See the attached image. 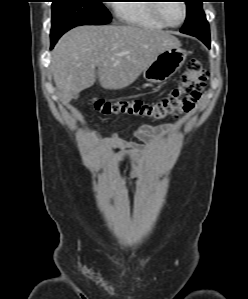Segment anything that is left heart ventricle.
I'll list each match as a JSON object with an SVG mask.
<instances>
[{
  "mask_svg": "<svg viewBox=\"0 0 248 299\" xmlns=\"http://www.w3.org/2000/svg\"><path fill=\"white\" fill-rule=\"evenodd\" d=\"M161 13L168 22L176 24L180 22L183 16L182 5L180 1L163 3L161 6Z\"/></svg>",
  "mask_w": 248,
  "mask_h": 299,
  "instance_id": "left-heart-ventricle-1",
  "label": "left heart ventricle"
}]
</instances>
